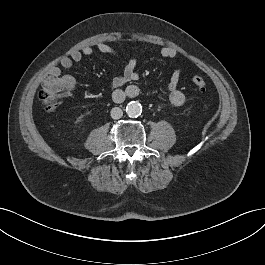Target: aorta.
Segmentation results:
<instances>
[{
  "label": "aorta",
  "instance_id": "obj_1",
  "mask_svg": "<svg viewBox=\"0 0 265 265\" xmlns=\"http://www.w3.org/2000/svg\"><path fill=\"white\" fill-rule=\"evenodd\" d=\"M126 113L129 117H138L142 113V106L136 101H131L126 106Z\"/></svg>",
  "mask_w": 265,
  "mask_h": 265
}]
</instances>
